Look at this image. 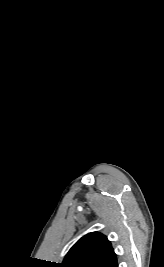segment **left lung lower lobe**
Segmentation results:
<instances>
[{
	"label": "left lung lower lobe",
	"instance_id": "left-lung-lower-lobe-1",
	"mask_svg": "<svg viewBox=\"0 0 164 267\" xmlns=\"http://www.w3.org/2000/svg\"><path fill=\"white\" fill-rule=\"evenodd\" d=\"M107 267H118L116 257L114 258V260Z\"/></svg>",
	"mask_w": 164,
	"mask_h": 267
}]
</instances>
